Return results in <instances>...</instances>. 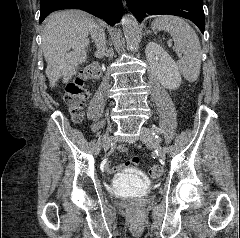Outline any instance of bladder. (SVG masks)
Here are the masks:
<instances>
[{"label": "bladder", "mask_w": 240, "mask_h": 238, "mask_svg": "<svg viewBox=\"0 0 240 238\" xmlns=\"http://www.w3.org/2000/svg\"><path fill=\"white\" fill-rule=\"evenodd\" d=\"M149 188V181L139 171L130 169L114 180L111 190L115 195H139Z\"/></svg>", "instance_id": "1"}]
</instances>
